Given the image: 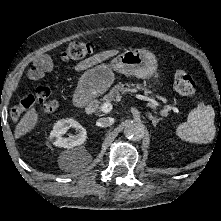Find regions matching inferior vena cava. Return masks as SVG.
Instances as JSON below:
<instances>
[{
  "instance_id": "obj_1",
  "label": "inferior vena cava",
  "mask_w": 221,
  "mask_h": 221,
  "mask_svg": "<svg viewBox=\"0 0 221 221\" xmlns=\"http://www.w3.org/2000/svg\"><path fill=\"white\" fill-rule=\"evenodd\" d=\"M97 123H98V126L108 127L114 123V120L110 117H103V118H100Z\"/></svg>"
}]
</instances>
